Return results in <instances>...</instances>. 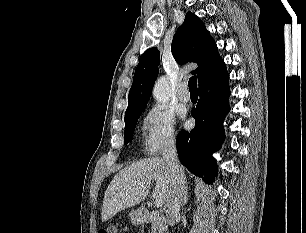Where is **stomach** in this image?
<instances>
[{"label":"stomach","mask_w":306,"mask_h":233,"mask_svg":"<svg viewBox=\"0 0 306 233\" xmlns=\"http://www.w3.org/2000/svg\"><path fill=\"white\" fill-rule=\"evenodd\" d=\"M131 222L135 225H139L143 222L144 216L140 210H133L130 213Z\"/></svg>","instance_id":"stomach-1"}]
</instances>
